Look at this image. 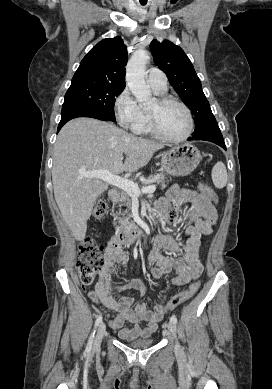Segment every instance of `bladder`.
<instances>
[{"instance_id":"1","label":"bladder","mask_w":272,"mask_h":389,"mask_svg":"<svg viewBox=\"0 0 272 389\" xmlns=\"http://www.w3.org/2000/svg\"><path fill=\"white\" fill-rule=\"evenodd\" d=\"M153 340L145 339V340H128L127 344L129 347L134 349H145L149 348L153 345Z\"/></svg>"}]
</instances>
